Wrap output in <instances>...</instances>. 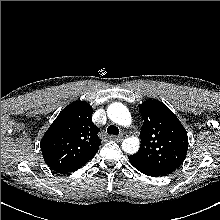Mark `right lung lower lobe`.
<instances>
[{
	"mask_svg": "<svg viewBox=\"0 0 220 220\" xmlns=\"http://www.w3.org/2000/svg\"><path fill=\"white\" fill-rule=\"evenodd\" d=\"M80 167H81V166H80ZM80 167L74 168L73 170H71V171H69V172H73V171L79 169ZM66 173H67V172H66Z\"/></svg>",
	"mask_w": 220,
	"mask_h": 220,
	"instance_id": "obj_1",
	"label": "right lung lower lobe"
}]
</instances>
